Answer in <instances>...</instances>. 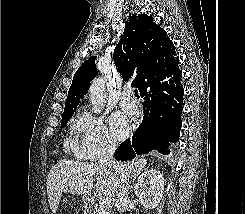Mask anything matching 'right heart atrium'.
Segmentation results:
<instances>
[{
	"label": "right heart atrium",
	"instance_id": "d8ad5b80",
	"mask_svg": "<svg viewBox=\"0 0 245 214\" xmlns=\"http://www.w3.org/2000/svg\"><path fill=\"white\" fill-rule=\"evenodd\" d=\"M74 152L85 160L95 161L113 152L114 143L101 118L81 110L73 119Z\"/></svg>",
	"mask_w": 245,
	"mask_h": 214
}]
</instances>
